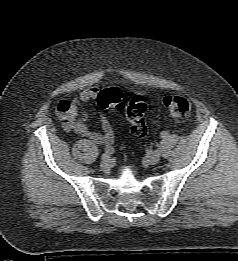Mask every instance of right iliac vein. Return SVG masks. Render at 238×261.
Segmentation results:
<instances>
[{"mask_svg": "<svg viewBox=\"0 0 238 261\" xmlns=\"http://www.w3.org/2000/svg\"><path fill=\"white\" fill-rule=\"evenodd\" d=\"M101 159H102V162L106 164L110 161V156H109V154L104 153V154H102Z\"/></svg>", "mask_w": 238, "mask_h": 261, "instance_id": "right-iliac-vein-1", "label": "right iliac vein"}]
</instances>
